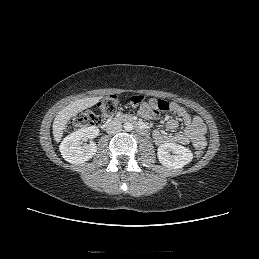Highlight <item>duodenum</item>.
<instances>
[{
	"mask_svg": "<svg viewBox=\"0 0 259 259\" xmlns=\"http://www.w3.org/2000/svg\"><path fill=\"white\" fill-rule=\"evenodd\" d=\"M115 121L135 123L136 126H137L138 133L141 134V135L146 134V130L144 129V127L141 124L137 123L136 119L132 115L124 114V115H120V116H115V117H112V118L108 119L107 123L110 124V123L115 122Z\"/></svg>",
	"mask_w": 259,
	"mask_h": 259,
	"instance_id": "obj_1",
	"label": "duodenum"
}]
</instances>
